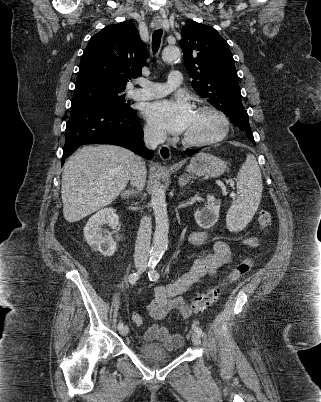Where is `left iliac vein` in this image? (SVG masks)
I'll return each mask as SVG.
<instances>
[{"mask_svg": "<svg viewBox=\"0 0 321 402\" xmlns=\"http://www.w3.org/2000/svg\"><path fill=\"white\" fill-rule=\"evenodd\" d=\"M192 342H193L196 346H199V345L201 344V338H200V336H199L198 333L194 332V333L192 334Z\"/></svg>", "mask_w": 321, "mask_h": 402, "instance_id": "obj_1", "label": "left iliac vein"}]
</instances>
